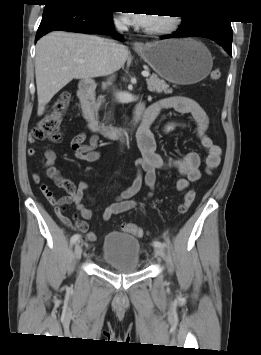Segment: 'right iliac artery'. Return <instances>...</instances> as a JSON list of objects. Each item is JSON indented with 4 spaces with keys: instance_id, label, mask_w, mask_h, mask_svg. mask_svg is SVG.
Segmentation results:
<instances>
[{
    "instance_id": "1",
    "label": "right iliac artery",
    "mask_w": 261,
    "mask_h": 355,
    "mask_svg": "<svg viewBox=\"0 0 261 355\" xmlns=\"http://www.w3.org/2000/svg\"><path fill=\"white\" fill-rule=\"evenodd\" d=\"M80 238H81V235H80V234H74V235L71 237V243H72V244H75Z\"/></svg>"
}]
</instances>
